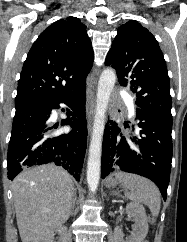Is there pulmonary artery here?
Listing matches in <instances>:
<instances>
[{
	"label": "pulmonary artery",
	"mask_w": 187,
	"mask_h": 242,
	"mask_svg": "<svg viewBox=\"0 0 187 242\" xmlns=\"http://www.w3.org/2000/svg\"><path fill=\"white\" fill-rule=\"evenodd\" d=\"M129 110L133 114V108H132V106H130Z\"/></svg>",
	"instance_id": "e3ab8cb5"
}]
</instances>
